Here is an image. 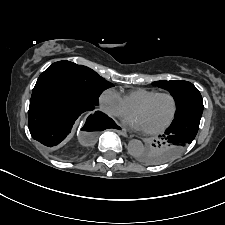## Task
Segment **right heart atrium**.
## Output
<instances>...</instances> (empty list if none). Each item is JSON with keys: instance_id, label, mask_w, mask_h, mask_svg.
I'll return each mask as SVG.
<instances>
[{"instance_id": "right-heart-atrium-1", "label": "right heart atrium", "mask_w": 225, "mask_h": 225, "mask_svg": "<svg viewBox=\"0 0 225 225\" xmlns=\"http://www.w3.org/2000/svg\"><path fill=\"white\" fill-rule=\"evenodd\" d=\"M99 102L103 112L111 117L126 116L131 112L122 96L113 89L103 91L99 97Z\"/></svg>"}]
</instances>
